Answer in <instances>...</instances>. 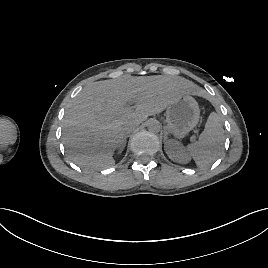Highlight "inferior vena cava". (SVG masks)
Wrapping results in <instances>:
<instances>
[{
    "label": "inferior vena cava",
    "mask_w": 268,
    "mask_h": 268,
    "mask_svg": "<svg viewBox=\"0 0 268 268\" xmlns=\"http://www.w3.org/2000/svg\"><path fill=\"white\" fill-rule=\"evenodd\" d=\"M136 126L132 125V124H127L124 126V133L125 135L133 132L135 130Z\"/></svg>",
    "instance_id": "602c4592"
}]
</instances>
